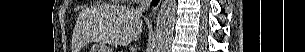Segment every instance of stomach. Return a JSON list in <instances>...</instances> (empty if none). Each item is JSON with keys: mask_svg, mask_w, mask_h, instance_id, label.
<instances>
[{"mask_svg": "<svg viewBox=\"0 0 305 52\" xmlns=\"http://www.w3.org/2000/svg\"><path fill=\"white\" fill-rule=\"evenodd\" d=\"M90 52H112L103 43H96L91 47Z\"/></svg>", "mask_w": 305, "mask_h": 52, "instance_id": "obj_1", "label": "stomach"}]
</instances>
